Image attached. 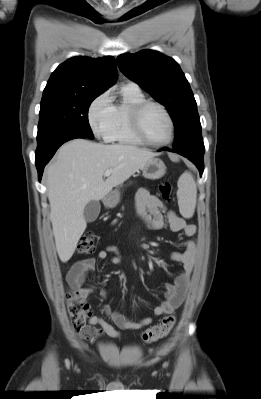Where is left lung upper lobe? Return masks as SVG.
<instances>
[{
	"instance_id": "left-lung-upper-lobe-1",
	"label": "left lung upper lobe",
	"mask_w": 261,
	"mask_h": 399,
	"mask_svg": "<svg viewBox=\"0 0 261 399\" xmlns=\"http://www.w3.org/2000/svg\"><path fill=\"white\" fill-rule=\"evenodd\" d=\"M122 73L167 109L175 126L176 150H205L197 104L178 63L160 52L144 50L118 56Z\"/></svg>"
}]
</instances>
